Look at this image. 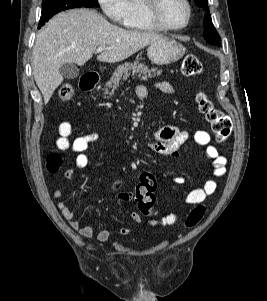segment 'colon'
<instances>
[{"label": "colon", "instance_id": "1", "mask_svg": "<svg viewBox=\"0 0 267 301\" xmlns=\"http://www.w3.org/2000/svg\"><path fill=\"white\" fill-rule=\"evenodd\" d=\"M203 71L200 60L194 55H187L183 58L181 72L187 77L199 76ZM75 89L71 84H63L59 89V97L63 101H70L74 98ZM198 108L204 114L206 120L210 123L212 131L219 142L226 141L231 134V122L229 118L220 110L216 109L212 101L204 92H199L196 96ZM62 165V157L57 153H52L47 158V168L51 172H56ZM156 179L150 172H142L138 175V184L134 200L138 209L144 215H150L155 203ZM112 193L116 197L123 190L121 182L112 184ZM204 206H196L188 214L185 225L187 227L195 226L204 216Z\"/></svg>", "mask_w": 267, "mask_h": 301}]
</instances>
